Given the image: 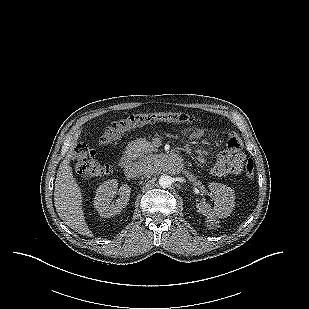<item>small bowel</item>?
Masks as SVG:
<instances>
[{
  "mask_svg": "<svg viewBox=\"0 0 309 309\" xmlns=\"http://www.w3.org/2000/svg\"><path fill=\"white\" fill-rule=\"evenodd\" d=\"M202 136L203 132L201 130L197 129L191 132V138L193 140L200 139ZM233 137H235V135L231 134L229 139ZM245 160L246 154L240 147L234 148L228 144L227 149L219 154L218 159L212 168V174L217 177L238 175L243 169Z\"/></svg>",
  "mask_w": 309,
  "mask_h": 309,
  "instance_id": "c3829d8e",
  "label": "small bowel"
}]
</instances>
